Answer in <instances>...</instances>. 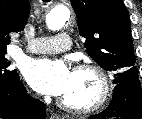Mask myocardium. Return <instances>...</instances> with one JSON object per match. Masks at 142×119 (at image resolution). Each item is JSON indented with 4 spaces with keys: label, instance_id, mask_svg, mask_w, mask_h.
<instances>
[{
    "label": "myocardium",
    "instance_id": "myocardium-1",
    "mask_svg": "<svg viewBox=\"0 0 142 119\" xmlns=\"http://www.w3.org/2000/svg\"><path fill=\"white\" fill-rule=\"evenodd\" d=\"M74 72H89L91 73L98 81V93L94 101L85 106H79L64 99H59V105L70 112L78 114H89L94 113L102 109L105 104L108 102L111 94V82L107 73L97 64L94 63H81L74 67Z\"/></svg>",
    "mask_w": 142,
    "mask_h": 119
}]
</instances>
